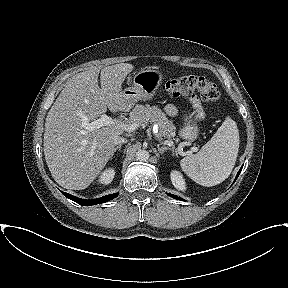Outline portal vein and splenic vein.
Here are the masks:
<instances>
[{
	"label": "portal vein and splenic vein",
	"mask_w": 288,
	"mask_h": 288,
	"mask_svg": "<svg viewBox=\"0 0 288 288\" xmlns=\"http://www.w3.org/2000/svg\"><path fill=\"white\" fill-rule=\"evenodd\" d=\"M108 125H114V126H117L119 129H123L129 132H133L139 127V124L137 123L124 124L123 122L116 120V119H112L111 117L105 114L101 115L99 119L94 120L92 122H89L86 118L83 119V122H82V127L89 131H93V130H96L103 126H108ZM166 143L172 144L171 141H166Z\"/></svg>",
	"instance_id": "1"
}]
</instances>
